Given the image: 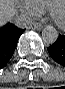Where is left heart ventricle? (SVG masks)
<instances>
[{
    "instance_id": "left-heart-ventricle-1",
    "label": "left heart ventricle",
    "mask_w": 65,
    "mask_h": 89,
    "mask_svg": "<svg viewBox=\"0 0 65 89\" xmlns=\"http://www.w3.org/2000/svg\"><path fill=\"white\" fill-rule=\"evenodd\" d=\"M58 14H59V17L61 18V17L63 16V14H64V11H63V10H60V11L58 12Z\"/></svg>"
}]
</instances>
